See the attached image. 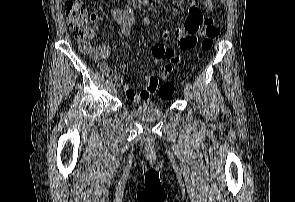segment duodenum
<instances>
[{
    "instance_id": "duodenum-1",
    "label": "duodenum",
    "mask_w": 295,
    "mask_h": 202,
    "mask_svg": "<svg viewBox=\"0 0 295 202\" xmlns=\"http://www.w3.org/2000/svg\"><path fill=\"white\" fill-rule=\"evenodd\" d=\"M136 1H139V2H144V1H147V0H136Z\"/></svg>"
}]
</instances>
